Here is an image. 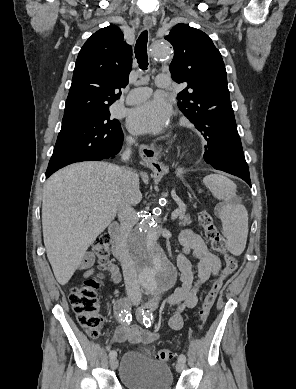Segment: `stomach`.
<instances>
[{
    "label": "stomach",
    "instance_id": "0dacf381",
    "mask_svg": "<svg viewBox=\"0 0 296 389\" xmlns=\"http://www.w3.org/2000/svg\"><path fill=\"white\" fill-rule=\"evenodd\" d=\"M151 177L157 184L164 182L165 172L160 168H154L151 172Z\"/></svg>",
    "mask_w": 296,
    "mask_h": 389
}]
</instances>
